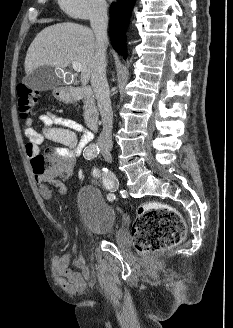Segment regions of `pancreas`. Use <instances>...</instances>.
Wrapping results in <instances>:
<instances>
[{
	"instance_id": "obj_1",
	"label": "pancreas",
	"mask_w": 233,
	"mask_h": 328,
	"mask_svg": "<svg viewBox=\"0 0 233 328\" xmlns=\"http://www.w3.org/2000/svg\"><path fill=\"white\" fill-rule=\"evenodd\" d=\"M88 107H90V104H89L88 100L86 98H84V109H87ZM91 108L95 110L94 107H91Z\"/></svg>"
}]
</instances>
